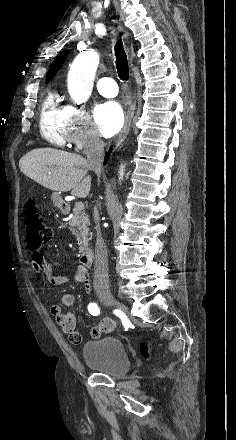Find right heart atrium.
Here are the masks:
<instances>
[{"mask_svg":"<svg viewBox=\"0 0 236 440\" xmlns=\"http://www.w3.org/2000/svg\"><path fill=\"white\" fill-rule=\"evenodd\" d=\"M67 143L75 146L78 151L90 152L102 146L89 113L72 104L65 106Z\"/></svg>","mask_w":236,"mask_h":440,"instance_id":"d8ad5b80","label":"right heart atrium"}]
</instances>
